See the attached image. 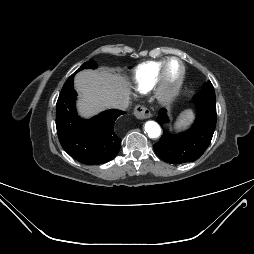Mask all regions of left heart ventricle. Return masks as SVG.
I'll use <instances>...</instances> for the list:
<instances>
[{
    "label": "left heart ventricle",
    "mask_w": 254,
    "mask_h": 254,
    "mask_svg": "<svg viewBox=\"0 0 254 254\" xmlns=\"http://www.w3.org/2000/svg\"><path fill=\"white\" fill-rule=\"evenodd\" d=\"M180 73V65L178 62L174 61L171 62L167 68V79L170 82L175 81Z\"/></svg>",
    "instance_id": "1"
}]
</instances>
